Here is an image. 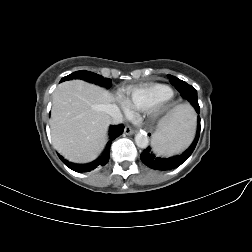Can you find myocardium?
I'll list each match as a JSON object with an SVG mask.
<instances>
[{
  "label": "myocardium",
  "mask_w": 252,
  "mask_h": 252,
  "mask_svg": "<svg viewBox=\"0 0 252 252\" xmlns=\"http://www.w3.org/2000/svg\"><path fill=\"white\" fill-rule=\"evenodd\" d=\"M170 97L167 99H164L158 103L153 104L149 109H147V116L150 119L156 120L158 118H160L162 115H164L169 106H168V101H169Z\"/></svg>",
  "instance_id": "obj_1"
}]
</instances>
